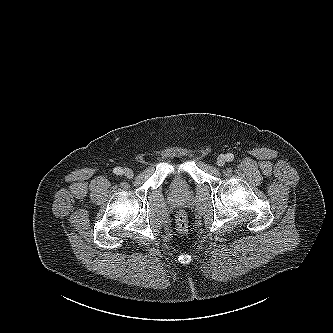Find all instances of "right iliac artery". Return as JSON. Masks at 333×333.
Instances as JSON below:
<instances>
[{
	"instance_id": "82829eb1",
	"label": "right iliac artery",
	"mask_w": 333,
	"mask_h": 333,
	"mask_svg": "<svg viewBox=\"0 0 333 333\" xmlns=\"http://www.w3.org/2000/svg\"><path fill=\"white\" fill-rule=\"evenodd\" d=\"M113 172L117 175H122L123 169L121 167H116V168H114Z\"/></svg>"
}]
</instances>
